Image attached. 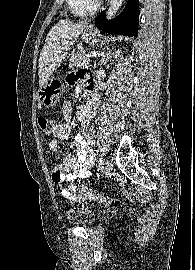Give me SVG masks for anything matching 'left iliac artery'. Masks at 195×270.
<instances>
[{"instance_id":"1","label":"left iliac artery","mask_w":195,"mask_h":270,"mask_svg":"<svg viewBox=\"0 0 195 270\" xmlns=\"http://www.w3.org/2000/svg\"><path fill=\"white\" fill-rule=\"evenodd\" d=\"M102 165H103V158H100L99 161H98L99 168H101Z\"/></svg>"}]
</instances>
